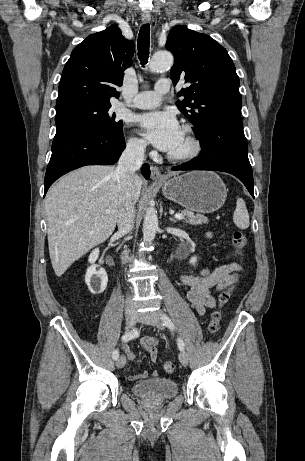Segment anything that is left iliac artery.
Returning a JSON list of instances; mask_svg holds the SVG:
<instances>
[{
    "label": "left iliac artery",
    "instance_id": "1",
    "mask_svg": "<svg viewBox=\"0 0 305 461\" xmlns=\"http://www.w3.org/2000/svg\"><path fill=\"white\" fill-rule=\"evenodd\" d=\"M162 321H163V324L166 327H168L170 330H175V326L173 322L166 314H162ZM177 344L180 350H184V342L180 337H178L177 339Z\"/></svg>",
    "mask_w": 305,
    "mask_h": 461
}]
</instances>
